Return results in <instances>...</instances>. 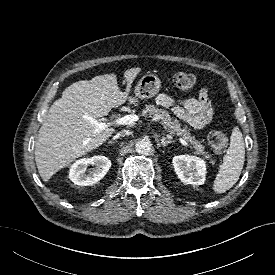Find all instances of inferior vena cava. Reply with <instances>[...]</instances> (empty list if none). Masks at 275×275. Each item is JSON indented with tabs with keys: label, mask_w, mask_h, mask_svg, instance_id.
Returning <instances> with one entry per match:
<instances>
[{
	"label": "inferior vena cava",
	"mask_w": 275,
	"mask_h": 275,
	"mask_svg": "<svg viewBox=\"0 0 275 275\" xmlns=\"http://www.w3.org/2000/svg\"><path fill=\"white\" fill-rule=\"evenodd\" d=\"M132 132L129 130H121L120 132H118L114 138H119V137H124L126 135H130Z\"/></svg>",
	"instance_id": "obj_1"
}]
</instances>
